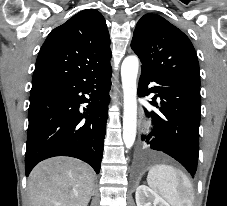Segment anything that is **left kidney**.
<instances>
[{
  "label": "left kidney",
  "mask_w": 227,
  "mask_h": 206,
  "mask_svg": "<svg viewBox=\"0 0 227 206\" xmlns=\"http://www.w3.org/2000/svg\"><path fill=\"white\" fill-rule=\"evenodd\" d=\"M137 206H170L162 197L146 185H140L136 189Z\"/></svg>",
  "instance_id": "1"
}]
</instances>
